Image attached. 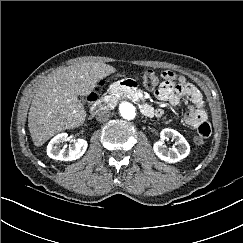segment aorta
<instances>
[{"mask_svg": "<svg viewBox=\"0 0 243 243\" xmlns=\"http://www.w3.org/2000/svg\"><path fill=\"white\" fill-rule=\"evenodd\" d=\"M121 116L124 119L132 120L136 116V108L130 102H123L119 107Z\"/></svg>", "mask_w": 243, "mask_h": 243, "instance_id": "aorta-1", "label": "aorta"}]
</instances>
